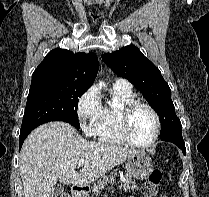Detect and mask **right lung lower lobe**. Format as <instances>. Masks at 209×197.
Here are the masks:
<instances>
[{"mask_svg":"<svg viewBox=\"0 0 209 197\" xmlns=\"http://www.w3.org/2000/svg\"><path fill=\"white\" fill-rule=\"evenodd\" d=\"M41 124H38V125H33V126H29L25 129H21L20 131V137H19V150L21 149L22 147V144L25 140V138L28 136V134L34 129L36 128L37 126H39Z\"/></svg>","mask_w":209,"mask_h":197,"instance_id":"obj_1","label":"right lung lower lobe"}]
</instances>
